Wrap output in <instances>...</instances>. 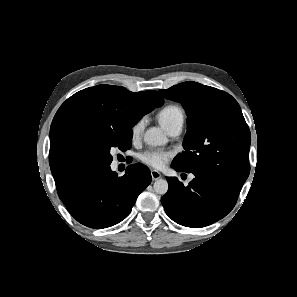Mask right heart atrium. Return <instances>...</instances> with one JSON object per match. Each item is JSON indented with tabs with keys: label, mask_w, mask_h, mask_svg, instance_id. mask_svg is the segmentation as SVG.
Masks as SVG:
<instances>
[{
	"label": "right heart atrium",
	"mask_w": 297,
	"mask_h": 297,
	"mask_svg": "<svg viewBox=\"0 0 297 297\" xmlns=\"http://www.w3.org/2000/svg\"><path fill=\"white\" fill-rule=\"evenodd\" d=\"M145 128V119L141 118L133 124L131 127V137L133 141H137L141 138Z\"/></svg>",
	"instance_id": "d8ad5b80"
}]
</instances>
